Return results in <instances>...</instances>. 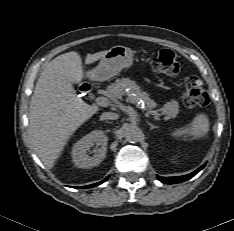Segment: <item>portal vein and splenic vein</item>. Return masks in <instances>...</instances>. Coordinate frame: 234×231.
<instances>
[{
  "mask_svg": "<svg viewBox=\"0 0 234 231\" xmlns=\"http://www.w3.org/2000/svg\"><path fill=\"white\" fill-rule=\"evenodd\" d=\"M95 101L99 106L107 107L111 105V102L105 97H97ZM143 110L146 111V109ZM147 114L153 115L156 119H159L160 117V114L157 111H147Z\"/></svg>",
  "mask_w": 234,
  "mask_h": 231,
  "instance_id": "portal-vein-and-splenic-vein-1",
  "label": "portal vein and splenic vein"
}]
</instances>
